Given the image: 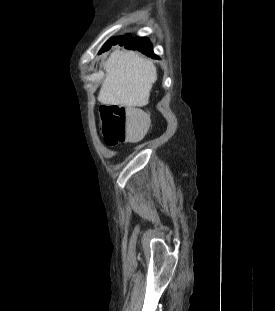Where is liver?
<instances>
[{
  "instance_id": "liver-1",
  "label": "liver",
  "mask_w": 275,
  "mask_h": 311,
  "mask_svg": "<svg viewBox=\"0 0 275 311\" xmlns=\"http://www.w3.org/2000/svg\"><path fill=\"white\" fill-rule=\"evenodd\" d=\"M105 79L99 100L104 105L142 107L148 104L150 91L157 80L152 61L134 51H114L103 62Z\"/></svg>"
}]
</instances>
